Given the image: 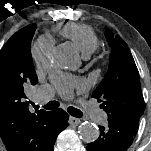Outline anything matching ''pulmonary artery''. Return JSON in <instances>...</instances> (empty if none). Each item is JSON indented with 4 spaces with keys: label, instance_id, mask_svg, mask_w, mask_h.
<instances>
[{
    "label": "pulmonary artery",
    "instance_id": "e3ab8cb5",
    "mask_svg": "<svg viewBox=\"0 0 151 151\" xmlns=\"http://www.w3.org/2000/svg\"><path fill=\"white\" fill-rule=\"evenodd\" d=\"M53 95V91L50 87L44 86L40 89L38 92L36 99L39 102H45L49 101ZM88 114L90 118L97 122V123H102L105 120V114L102 111H99L95 108H87Z\"/></svg>",
    "mask_w": 151,
    "mask_h": 151
}]
</instances>
